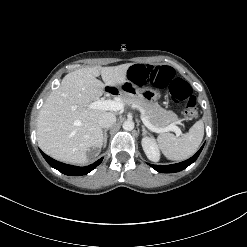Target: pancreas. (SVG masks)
I'll list each match as a JSON object with an SVG mask.
<instances>
[{
  "mask_svg": "<svg viewBox=\"0 0 247 247\" xmlns=\"http://www.w3.org/2000/svg\"><path fill=\"white\" fill-rule=\"evenodd\" d=\"M119 99L124 104L141 111L148 121L156 127H166L169 123L178 121L174 112L165 110L158 103H148L141 98L126 95H120Z\"/></svg>",
  "mask_w": 247,
  "mask_h": 247,
  "instance_id": "1",
  "label": "pancreas"
}]
</instances>
